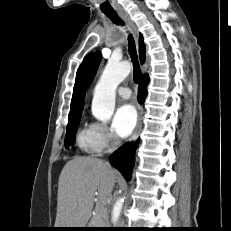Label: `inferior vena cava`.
Listing matches in <instances>:
<instances>
[{"label": "inferior vena cava", "mask_w": 231, "mask_h": 231, "mask_svg": "<svg viewBox=\"0 0 231 231\" xmlns=\"http://www.w3.org/2000/svg\"><path fill=\"white\" fill-rule=\"evenodd\" d=\"M106 164L109 165L108 162H106ZM123 224H124V221H123L122 219H119L118 222H117V226H118V227H121Z\"/></svg>", "instance_id": "602c4592"}]
</instances>
